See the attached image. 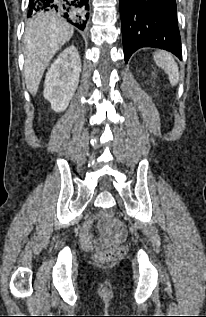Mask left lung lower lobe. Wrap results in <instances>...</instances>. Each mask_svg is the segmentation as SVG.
I'll list each match as a JSON object with an SVG mask.
<instances>
[{"label": "left lung lower lobe", "instance_id": "left-lung-lower-lobe-1", "mask_svg": "<svg viewBox=\"0 0 206 317\" xmlns=\"http://www.w3.org/2000/svg\"><path fill=\"white\" fill-rule=\"evenodd\" d=\"M125 61L139 48L156 47L182 59L175 0H119Z\"/></svg>", "mask_w": 206, "mask_h": 317}]
</instances>
